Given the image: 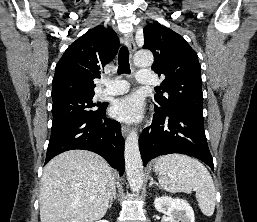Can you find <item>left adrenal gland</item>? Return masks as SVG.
Here are the masks:
<instances>
[{
	"label": "left adrenal gland",
	"instance_id": "1",
	"mask_svg": "<svg viewBox=\"0 0 257 222\" xmlns=\"http://www.w3.org/2000/svg\"><path fill=\"white\" fill-rule=\"evenodd\" d=\"M149 179H150L149 187H151L153 184L158 186V184L153 180L151 176L149 177Z\"/></svg>",
	"mask_w": 257,
	"mask_h": 222
}]
</instances>
